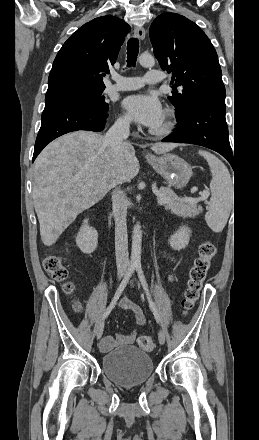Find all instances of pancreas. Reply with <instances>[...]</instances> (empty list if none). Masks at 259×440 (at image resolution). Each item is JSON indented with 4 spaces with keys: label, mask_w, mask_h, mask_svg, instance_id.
Instances as JSON below:
<instances>
[{
    "label": "pancreas",
    "mask_w": 259,
    "mask_h": 440,
    "mask_svg": "<svg viewBox=\"0 0 259 440\" xmlns=\"http://www.w3.org/2000/svg\"><path fill=\"white\" fill-rule=\"evenodd\" d=\"M160 192L162 193L163 197L170 198V201L164 204V206L165 209L170 210L171 213L194 217L202 212V207L197 205L198 201H184L183 198L177 197L170 188L166 187H161Z\"/></svg>",
    "instance_id": "cf45deb5"
}]
</instances>
